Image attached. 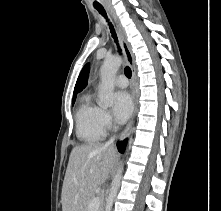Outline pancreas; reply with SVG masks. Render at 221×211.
<instances>
[{
    "label": "pancreas",
    "mask_w": 221,
    "mask_h": 211,
    "mask_svg": "<svg viewBox=\"0 0 221 211\" xmlns=\"http://www.w3.org/2000/svg\"><path fill=\"white\" fill-rule=\"evenodd\" d=\"M94 198V194L90 195L86 201H85V210L84 211H88V206H89V203L91 202V200ZM101 211V210H99Z\"/></svg>",
    "instance_id": "cf45deb5"
}]
</instances>
